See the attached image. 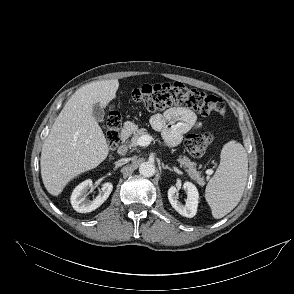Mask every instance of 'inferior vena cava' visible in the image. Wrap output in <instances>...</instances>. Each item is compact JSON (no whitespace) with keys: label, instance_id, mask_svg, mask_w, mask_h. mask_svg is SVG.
Returning a JSON list of instances; mask_svg holds the SVG:
<instances>
[{"label":"inferior vena cava","instance_id":"1","mask_svg":"<svg viewBox=\"0 0 294 294\" xmlns=\"http://www.w3.org/2000/svg\"><path fill=\"white\" fill-rule=\"evenodd\" d=\"M128 160L129 159L124 158V159L119 160L118 163L125 164L126 162H128Z\"/></svg>","mask_w":294,"mask_h":294}]
</instances>
